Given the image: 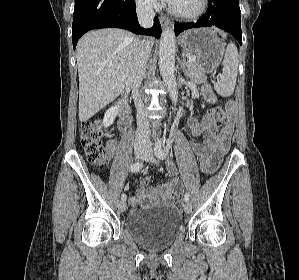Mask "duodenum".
Returning <instances> with one entry per match:
<instances>
[{"instance_id": "1", "label": "duodenum", "mask_w": 299, "mask_h": 280, "mask_svg": "<svg viewBox=\"0 0 299 280\" xmlns=\"http://www.w3.org/2000/svg\"><path fill=\"white\" fill-rule=\"evenodd\" d=\"M119 111L122 119L121 126L122 129H125L129 123V108L128 100L126 97L121 98V100L119 101Z\"/></svg>"}]
</instances>
